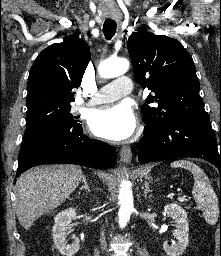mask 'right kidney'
Listing matches in <instances>:
<instances>
[{
  "label": "right kidney",
  "instance_id": "obj_1",
  "mask_svg": "<svg viewBox=\"0 0 221 256\" xmlns=\"http://www.w3.org/2000/svg\"><path fill=\"white\" fill-rule=\"evenodd\" d=\"M76 216L74 208L58 213L54 218L55 224L53 226V240L55 247L63 256H74L79 251V239L75 238L71 245L66 244V235L70 233V223Z\"/></svg>",
  "mask_w": 221,
  "mask_h": 256
}]
</instances>
